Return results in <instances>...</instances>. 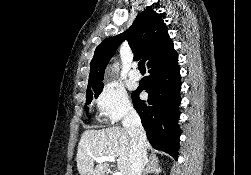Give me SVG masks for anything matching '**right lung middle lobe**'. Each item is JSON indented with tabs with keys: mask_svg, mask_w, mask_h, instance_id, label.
<instances>
[{
	"mask_svg": "<svg viewBox=\"0 0 251 175\" xmlns=\"http://www.w3.org/2000/svg\"><path fill=\"white\" fill-rule=\"evenodd\" d=\"M102 88H103V86L87 88L86 104H90L93 97L97 98L98 95L101 93ZM85 109H86V111L88 110L87 107H85Z\"/></svg>",
	"mask_w": 251,
	"mask_h": 175,
	"instance_id": "1",
	"label": "right lung middle lobe"
}]
</instances>
